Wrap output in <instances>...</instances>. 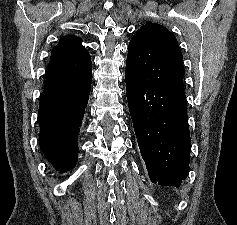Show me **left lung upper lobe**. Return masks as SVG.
Returning <instances> with one entry per match:
<instances>
[{
  "mask_svg": "<svg viewBox=\"0 0 237 225\" xmlns=\"http://www.w3.org/2000/svg\"><path fill=\"white\" fill-rule=\"evenodd\" d=\"M126 71L142 84L183 89V56L174 35L160 24L147 22L129 43Z\"/></svg>",
  "mask_w": 237,
  "mask_h": 225,
  "instance_id": "1",
  "label": "left lung upper lobe"
}]
</instances>
